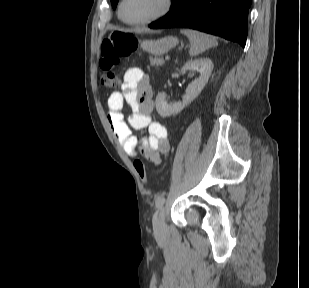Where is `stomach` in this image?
Returning <instances> with one entry per match:
<instances>
[{
  "instance_id": "0dacf381",
  "label": "stomach",
  "mask_w": 309,
  "mask_h": 288,
  "mask_svg": "<svg viewBox=\"0 0 309 288\" xmlns=\"http://www.w3.org/2000/svg\"><path fill=\"white\" fill-rule=\"evenodd\" d=\"M177 44L178 39L176 37L168 36L158 40H145L141 43V47L155 56H160L167 53Z\"/></svg>"
}]
</instances>
